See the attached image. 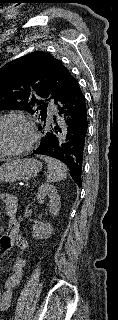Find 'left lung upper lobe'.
Returning <instances> with one entry per match:
<instances>
[{
	"mask_svg": "<svg viewBox=\"0 0 118 320\" xmlns=\"http://www.w3.org/2000/svg\"><path fill=\"white\" fill-rule=\"evenodd\" d=\"M72 75L46 52H33L7 63L0 69V110L19 109L47 115L46 101L57 98Z\"/></svg>",
	"mask_w": 118,
	"mask_h": 320,
	"instance_id": "left-lung-upper-lobe-1",
	"label": "left lung upper lobe"
}]
</instances>
